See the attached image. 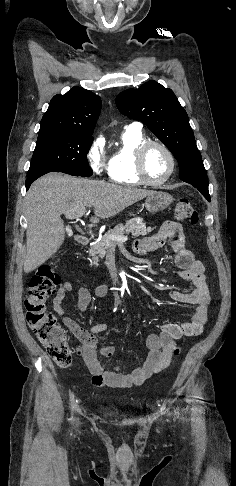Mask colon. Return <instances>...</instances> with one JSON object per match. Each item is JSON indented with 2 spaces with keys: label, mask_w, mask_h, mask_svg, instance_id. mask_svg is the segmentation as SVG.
<instances>
[{
  "label": "colon",
  "mask_w": 236,
  "mask_h": 486,
  "mask_svg": "<svg viewBox=\"0 0 236 486\" xmlns=\"http://www.w3.org/2000/svg\"><path fill=\"white\" fill-rule=\"evenodd\" d=\"M174 217L178 221H188L192 224L198 220L197 211L186 198L177 201ZM59 284L60 277L53 265H41L30 279L25 307L28 325L37 339L45 346L49 356L58 366L66 367L72 360L67 335L46 307L48 298L55 293ZM173 353L178 356L180 349H174Z\"/></svg>",
  "instance_id": "1"
}]
</instances>
